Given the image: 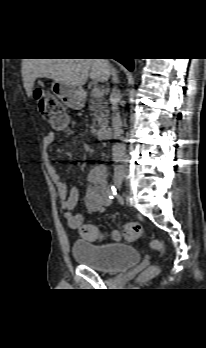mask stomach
Returning a JSON list of instances; mask_svg holds the SVG:
<instances>
[{
  "mask_svg": "<svg viewBox=\"0 0 206 348\" xmlns=\"http://www.w3.org/2000/svg\"><path fill=\"white\" fill-rule=\"evenodd\" d=\"M51 92L58 97L67 107L82 109L85 102V92L81 86L53 80Z\"/></svg>",
  "mask_w": 206,
  "mask_h": 348,
  "instance_id": "0dacf381",
  "label": "stomach"
}]
</instances>
